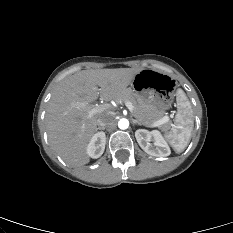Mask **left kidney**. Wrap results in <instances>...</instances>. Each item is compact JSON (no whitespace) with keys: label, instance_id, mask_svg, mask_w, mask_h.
Segmentation results:
<instances>
[{"label":"left kidney","instance_id":"left-kidney-1","mask_svg":"<svg viewBox=\"0 0 233 233\" xmlns=\"http://www.w3.org/2000/svg\"><path fill=\"white\" fill-rule=\"evenodd\" d=\"M135 137L139 146L151 156L165 157L171 153L167 142L158 130L138 129Z\"/></svg>","mask_w":233,"mask_h":233}]
</instances>
